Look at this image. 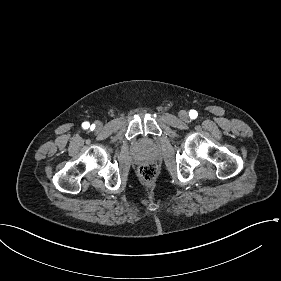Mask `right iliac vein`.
Segmentation results:
<instances>
[{
	"mask_svg": "<svg viewBox=\"0 0 281 281\" xmlns=\"http://www.w3.org/2000/svg\"><path fill=\"white\" fill-rule=\"evenodd\" d=\"M96 128H97V129H100V128H101V123H99V122L96 123Z\"/></svg>",
	"mask_w": 281,
	"mask_h": 281,
	"instance_id": "obj_1",
	"label": "right iliac vein"
}]
</instances>
